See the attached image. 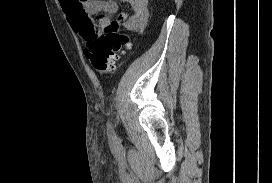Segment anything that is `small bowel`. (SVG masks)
Wrapping results in <instances>:
<instances>
[{"mask_svg": "<svg viewBox=\"0 0 272 183\" xmlns=\"http://www.w3.org/2000/svg\"><path fill=\"white\" fill-rule=\"evenodd\" d=\"M120 1L128 4L132 14L123 11L117 21L111 19L118 10L114 0H60V3L73 30L89 42L100 34H109V30L144 29L149 16L148 0ZM114 22L123 25H111Z\"/></svg>", "mask_w": 272, "mask_h": 183, "instance_id": "obj_1", "label": "small bowel"}]
</instances>
